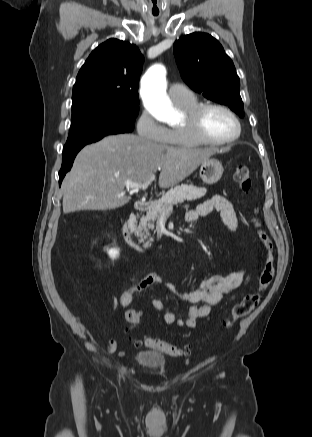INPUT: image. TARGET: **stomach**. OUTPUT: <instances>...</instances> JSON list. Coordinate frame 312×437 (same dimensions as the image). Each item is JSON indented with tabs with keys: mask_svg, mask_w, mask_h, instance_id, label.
Segmentation results:
<instances>
[{
	"mask_svg": "<svg viewBox=\"0 0 312 437\" xmlns=\"http://www.w3.org/2000/svg\"><path fill=\"white\" fill-rule=\"evenodd\" d=\"M223 171L224 168L219 160L208 158L201 163L199 174L204 183L214 184L221 179Z\"/></svg>",
	"mask_w": 312,
	"mask_h": 437,
	"instance_id": "obj_1",
	"label": "stomach"
}]
</instances>
